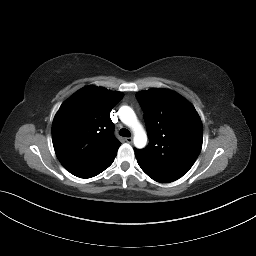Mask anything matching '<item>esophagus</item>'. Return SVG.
<instances>
[{"instance_id":"esophagus-1","label":"esophagus","mask_w":256,"mask_h":256,"mask_svg":"<svg viewBox=\"0 0 256 256\" xmlns=\"http://www.w3.org/2000/svg\"><path fill=\"white\" fill-rule=\"evenodd\" d=\"M126 142H127V143H132V142H133V139H132L131 137H128V138H126Z\"/></svg>"}]
</instances>
